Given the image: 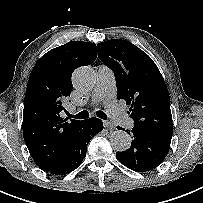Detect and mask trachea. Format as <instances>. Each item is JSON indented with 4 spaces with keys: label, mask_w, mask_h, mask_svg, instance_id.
<instances>
[{
    "label": "trachea",
    "mask_w": 203,
    "mask_h": 203,
    "mask_svg": "<svg viewBox=\"0 0 203 203\" xmlns=\"http://www.w3.org/2000/svg\"><path fill=\"white\" fill-rule=\"evenodd\" d=\"M97 117L106 120L107 119V115L103 112V111H97L96 112ZM69 118H76V119H87L89 117V112L84 110L76 115H71L68 114Z\"/></svg>",
    "instance_id": "trachea-1"
}]
</instances>
